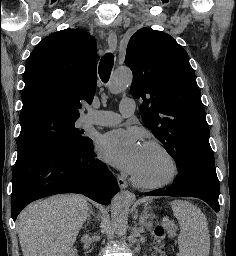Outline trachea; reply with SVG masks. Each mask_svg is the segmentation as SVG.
Here are the masks:
<instances>
[{"label": "trachea", "mask_w": 236, "mask_h": 256, "mask_svg": "<svg viewBox=\"0 0 236 256\" xmlns=\"http://www.w3.org/2000/svg\"><path fill=\"white\" fill-rule=\"evenodd\" d=\"M114 62V57L112 53H106L100 60L99 63V75L101 80L106 83L110 78V73L112 71Z\"/></svg>", "instance_id": "1"}]
</instances>
